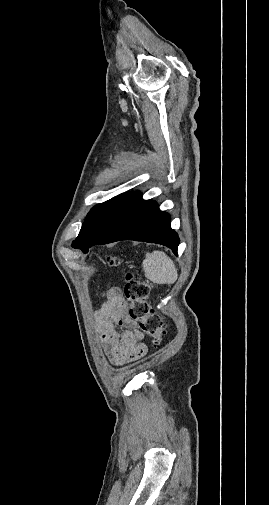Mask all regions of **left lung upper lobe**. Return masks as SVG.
<instances>
[{
  "label": "left lung upper lobe",
  "mask_w": 269,
  "mask_h": 505,
  "mask_svg": "<svg viewBox=\"0 0 269 505\" xmlns=\"http://www.w3.org/2000/svg\"><path fill=\"white\" fill-rule=\"evenodd\" d=\"M134 192L121 194L107 202L94 206L88 213L80 233L72 246L82 249L98 242L110 229Z\"/></svg>",
  "instance_id": "left-lung-upper-lobe-1"
}]
</instances>
